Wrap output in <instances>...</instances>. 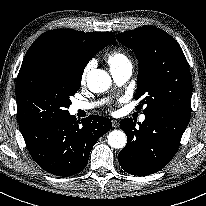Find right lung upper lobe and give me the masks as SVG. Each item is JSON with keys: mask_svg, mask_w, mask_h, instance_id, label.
<instances>
[{"mask_svg": "<svg viewBox=\"0 0 206 206\" xmlns=\"http://www.w3.org/2000/svg\"><path fill=\"white\" fill-rule=\"evenodd\" d=\"M43 43H55L63 46L73 53L75 60L80 65L85 67L93 55L108 44H116V40L114 35L110 32L84 33L82 31L71 29H56L40 35L31 45L26 54Z\"/></svg>", "mask_w": 206, "mask_h": 206, "instance_id": "right-lung-upper-lobe-1", "label": "right lung upper lobe"}]
</instances>
